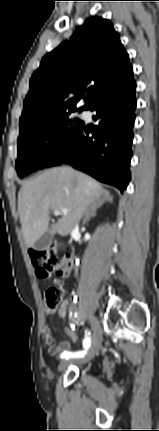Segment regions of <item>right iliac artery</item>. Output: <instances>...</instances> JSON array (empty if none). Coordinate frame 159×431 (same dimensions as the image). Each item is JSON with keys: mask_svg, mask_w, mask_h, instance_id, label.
Instances as JSON below:
<instances>
[{"mask_svg": "<svg viewBox=\"0 0 159 431\" xmlns=\"http://www.w3.org/2000/svg\"><path fill=\"white\" fill-rule=\"evenodd\" d=\"M75 317H77V313H75ZM90 333H86V337L83 340V347L84 350L82 351H77V352H64L61 354V358H65V359H69V358H80L83 357L87 350L89 349L90 345H91V338H90Z\"/></svg>", "mask_w": 159, "mask_h": 431, "instance_id": "1", "label": "right iliac artery"}]
</instances>
